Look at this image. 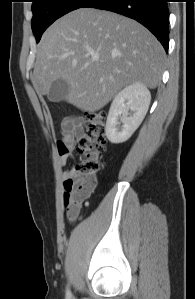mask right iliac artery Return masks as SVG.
Returning <instances> with one entry per match:
<instances>
[{"mask_svg": "<svg viewBox=\"0 0 195 299\" xmlns=\"http://www.w3.org/2000/svg\"><path fill=\"white\" fill-rule=\"evenodd\" d=\"M71 298H72V294H71L70 290L67 289V291H66V299H71Z\"/></svg>", "mask_w": 195, "mask_h": 299, "instance_id": "obj_1", "label": "right iliac artery"}]
</instances>
